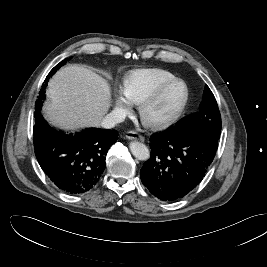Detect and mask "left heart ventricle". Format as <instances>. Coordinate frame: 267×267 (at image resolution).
<instances>
[{
    "label": "left heart ventricle",
    "instance_id": "1",
    "mask_svg": "<svg viewBox=\"0 0 267 267\" xmlns=\"http://www.w3.org/2000/svg\"><path fill=\"white\" fill-rule=\"evenodd\" d=\"M183 88L178 87L169 92L165 98L153 109L154 115H161L172 109L182 98Z\"/></svg>",
    "mask_w": 267,
    "mask_h": 267
}]
</instances>
